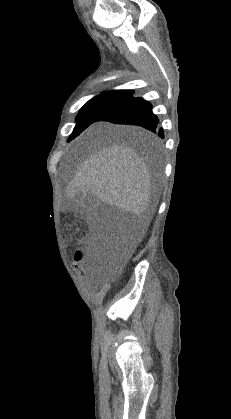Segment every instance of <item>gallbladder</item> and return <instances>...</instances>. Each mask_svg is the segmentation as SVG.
I'll return each instance as SVG.
<instances>
[{
	"mask_svg": "<svg viewBox=\"0 0 231 419\" xmlns=\"http://www.w3.org/2000/svg\"><path fill=\"white\" fill-rule=\"evenodd\" d=\"M89 196H87L84 200H83V205L85 206V207H93L95 204H96V202H95V198H94V196L93 195H90V194H88ZM89 197H91L90 199H89Z\"/></svg>",
	"mask_w": 231,
	"mask_h": 419,
	"instance_id": "obj_1",
	"label": "gallbladder"
}]
</instances>
